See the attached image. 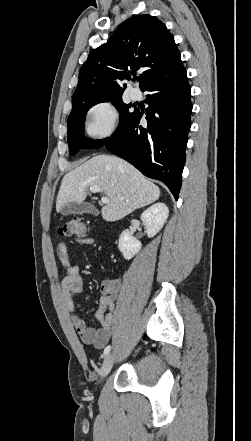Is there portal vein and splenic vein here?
I'll return each mask as SVG.
<instances>
[{"label":"portal vein and splenic vein","mask_w":251,"mask_h":441,"mask_svg":"<svg viewBox=\"0 0 251 441\" xmlns=\"http://www.w3.org/2000/svg\"><path fill=\"white\" fill-rule=\"evenodd\" d=\"M90 191H91L92 193H97V192H101V189H100L99 186L94 185V186H91V187H90ZM101 202H102L103 204H107V203H109V199H108V197H106V196H102V197H101Z\"/></svg>","instance_id":"portal-vein-and-splenic-vein-1"}]
</instances>
